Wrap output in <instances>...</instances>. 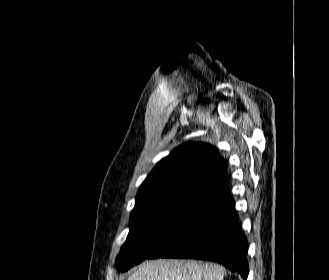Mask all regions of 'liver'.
Segmentation results:
<instances>
[{"label":"liver","instance_id":"1","mask_svg":"<svg viewBox=\"0 0 329 280\" xmlns=\"http://www.w3.org/2000/svg\"><path fill=\"white\" fill-rule=\"evenodd\" d=\"M127 280H223V268L195 260L158 259L139 265Z\"/></svg>","mask_w":329,"mask_h":280}]
</instances>
